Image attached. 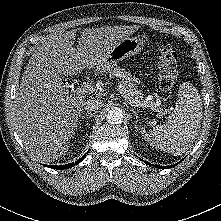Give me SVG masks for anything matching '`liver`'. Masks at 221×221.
Returning a JSON list of instances; mask_svg holds the SVG:
<instances>
[{
    "label": "liver",
    "mask_w": 221,
    "mask_h": 221,
    "mask_svg": "<svg viewBox=\"0 0 221 221\" xmlns=\"http://www.w3.org/2000/svg\"><path fill=\"white\" fill-rule=\"evenodd\" d=\"M137 26L60 31L43 41L29 59L16 92L14 125L30 154L54 161L66 154L77 129L86 96L70 93L60 74L77 75L95 69L106 55Z\"/></svg>",
    "instance_id": "liver-1"
}]
</instances>
